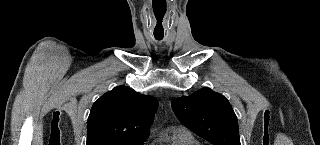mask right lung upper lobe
<instances>
[{
    "label": "right lung upper lobe",
    "mask_w": 320,
    "mask_h": 145,
    "mask_svg": "<svg viewBox=\"0 0 320 145\" xmlns=\"http://www.w3.org/2000/svg\"><path fill=\"white\" fill-rule=\"evenodd\" d=\"M158 101L126 86H117L92 106L87 145L101 142H140L149 136Z\"/></svg>",
    "instance_id": "cb5924a9"
}]
</instances>
